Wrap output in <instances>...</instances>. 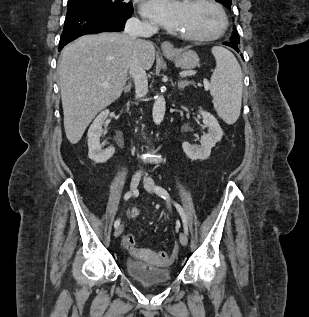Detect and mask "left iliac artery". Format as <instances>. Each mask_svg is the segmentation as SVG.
Segmentation results:
<instances>
[{
    "label": "left iliac artery",
    "instance_id": "1",
    "mask_svg": "<svg viewBox=\"0 0 309 317\" xmlns=\"http://www.w3.org/2000/svg\"><path fill=\"white\" fill-rule=\"evenodd\" d=\"M154 190H155L156 194H158L163 199H165L167 201H171L169 193L163 187L156 186ZM173 203H174L175 208L177 209V211L179 212V214L181 216V219L183 222V227H184V232H185V234L188 235L187 218H186V214L184 212V209L177 202H173Z\"/></svg>",
    "mask_w": 309,
    "mask_h": 317
}]
</instances>
